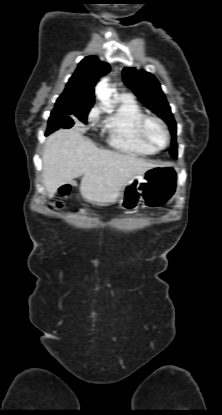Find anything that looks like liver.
<instances>
[{
  "label": "liver",
  "instance_id": "6515ba94",
  "mask_svg": "<svg viewBox=\"0 0 222 415\" xmlns=\"http://www.w3.org/2000/svg\"><path fill=\"white\" fill-rule=\"evenodd\" d=\"M43 182L49 198L64 184L76 185L87 202L106 205L116 202L126 182L162 164L135 154L103 150L75 129H59L47 137L43 155Z\"/></svg>",
  "mask_w": 222,
  "mask_h": 415
}]
</instances>
